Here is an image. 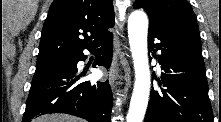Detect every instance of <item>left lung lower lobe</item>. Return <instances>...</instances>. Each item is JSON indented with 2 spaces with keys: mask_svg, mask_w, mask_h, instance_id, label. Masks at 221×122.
<instances>
[{
  "mask_svg": "<svg viewBox=\"0 0 221 122\" xmlns=\"http://www.w3.org/2000/svg\"><path fill=\"white\" fill-rule=\"evenodd\" d=\"M158 49L161 54L155 58L163 70L158 79L161 87L151 90L144 122H213L199 39L150 22L148 50Z\"/></svg>",
  "mask_w": 221,
  "mask_h": 122,
  "instance_id": "0a47b994",
  "label": "left lung lower lobe"
}]
</instances>
